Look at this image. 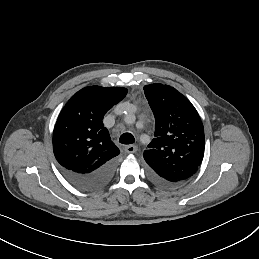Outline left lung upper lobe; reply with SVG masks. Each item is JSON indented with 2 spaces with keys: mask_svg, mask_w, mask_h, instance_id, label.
<instances>
[{
  "mask_svg": "<svg viewBox=\"0 0 259 259\" xmlns=\"http://www.w3.org/2000/svg\"><path fill=\"white\" fill-rule=\"evenodd\" d=\"M144 93L156 120L155 138L144 151L149 173L159 181L183 183L203 160L201 118L192 103L169 85H146Z\"/></svg>",
  "mask_w": 259,
  "mask_h": 259,
  "instance_id": "1",
  "label": "left lung upper lobe"
}]
</instances>
